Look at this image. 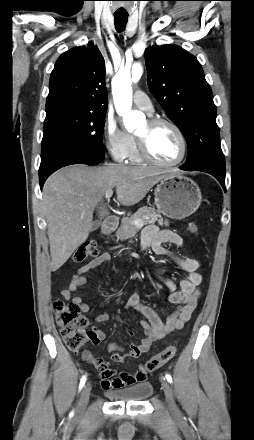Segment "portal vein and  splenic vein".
<instances>
[{
  "mask_svg": "<svg viewBox=\"0 0 254 440\" xmlns=\"http://www.w3.org/2000/svg\"><path fill=\"white\" fill-rule=\"evenodd\" d=\"M112 195H113V191L109 190L105 193V198L107 200H109L112 197ZM133 225H135L137 227H142V226H144V223L142 220H135V221H133Z\"/></svg>",
  "mask_w": 254,
  "mask_h": 440,
  "instance_id": "obj_1",
  "label": "portal vein and splenic vein"
}]
</instances>
